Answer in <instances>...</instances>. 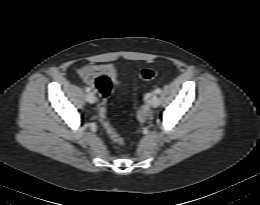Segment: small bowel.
<instances>
[{"mask_svg":"<svg viewBox=\"0 0 260 205\" xmlns=\"http://www.w3.org/2000/svg\"><path fill=\"white\" fill-rule=\"evenodd\" d=\"M77 73L79 78L88 86V88H90V90L95 89V79L101 74L110 76L115 84L118 83L117 71L111 64H86L81 66Z\"/></svg>","mask_w":260,"mask_h":205,"instance_id":"1","label":"small bowel"}]
</instances>
